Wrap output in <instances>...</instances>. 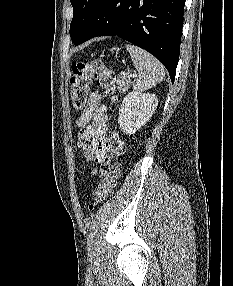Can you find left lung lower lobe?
<instances>
[{
	"label": "left lung lower lobe",
	"instance_id": "left-lung-lower-lobe-1",
	"mask_svg": "<svg viewBox=\"0 0 233 286\" xmlns=\"http://www.w3.org/2000/svg\"><path fill=\"white\" fill-rule=\"evenodd\" d=\"M184 4L185 0H104L74 45L117 35L153 54L174 83Z\"/></svg>",
	"mask_w": 233,
	"mask_h": 286
}]
</instances>
